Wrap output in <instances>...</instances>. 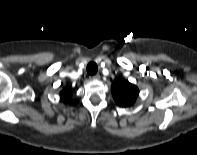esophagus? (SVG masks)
Instances as JSON below:
<instances>
[{
  "label": "esophagus",
  "mask_w": 197,
  "mask_h": 155,
  "mask_svg": "<svg viewBox=\"0 0 197 155\" xmlns=\"http://www.w3.org/2000/svg\"><path fill=\"white\" fill-rule=\"evenodd\" d=\"M93 79L99 80L100 79V75L97 73L95 75L92 76Z\"/></svg>",
  "instance_id": "34e87169"
}]
</instances>
